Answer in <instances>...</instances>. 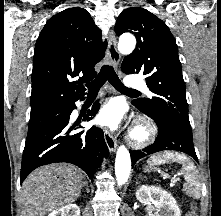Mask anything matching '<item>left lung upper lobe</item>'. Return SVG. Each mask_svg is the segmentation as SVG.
Returning a JSON list of instances; mask_svg holds the SVG:
<instances>
[{"label": "left lung upper lobe", "mask_w": 221, "mask_h": 216, "mask_svg": "<svg viewBox=\"0 0 221 216\" xmlns=\"http://www.w3.org/2000/svg\"><path fill=\"white\" fill-rule=\"evenodd\" d=\"M115 32H130L137 38L135 50L123 60L122 71L145 75L155 94L152 99L136 100L135 105L154 119L171 120L191 130L178 47L167 25L148 10L131 7L119 15Z\"/></svg>", "instance_id": "1"}]
</instances>
